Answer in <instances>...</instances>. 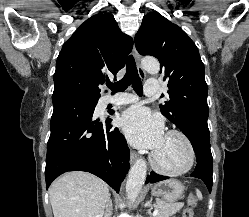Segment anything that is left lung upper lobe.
<instances>
[{"label": "left lung upper lobe", "mask_w": 249, "mask_h": 217, "mask_svg": "<svg viewBox=\"0 0 249 217\" xmlns=\"http://www.w3.org/2000/svg\"><path fill=\"white\" fill-rule=\"evenodd\" d=\"M135 45L141 55L156 57L163 68L170 99L160 105L162 114L184 134L193 122H207L204 64L190 37L161 14L149 13L143 17Z\"/></svg>", "instance_id": "5c2ea615"}]
</instances>
